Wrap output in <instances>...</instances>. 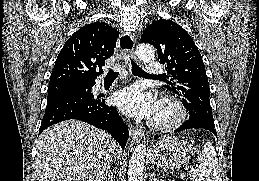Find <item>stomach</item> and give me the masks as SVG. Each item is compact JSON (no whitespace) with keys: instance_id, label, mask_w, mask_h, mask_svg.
Returning a JSON list of instances; mask_svg holds the SVG:
<instances>
[{"instance_id":"obj_1","label":"stomach","mask_w":259,"mask_h":181,"mask_svg":"<svg viewBox=\"0 0 259 181\" xmlns=\"http://www.w3.org/2000/svg\"><path fill=\"white\" fill-rule=\"evenodd\" d=\"M192 153L193 148L187 141L165 136L152 147L149 159L157 167L173 169L185 164Z\"/></svg>"}]
</instances>
